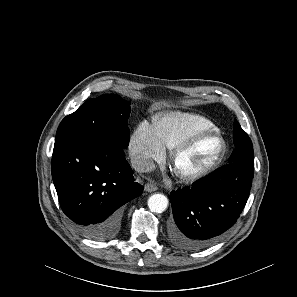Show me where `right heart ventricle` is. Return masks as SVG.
<instances>
[{
  "instance_id": "obj_1",
  "label": "right heart ventricle",
  "mask_w": 297,
  "mask_h": 297,
  "mask_svg": "<svg viewBox=\"0 0 297 297\" xmlns=\"http://www.w3.org/2000/svg\"><path fill=\"white\" fill-rule=\"evenodd\" d=\"M153 128L165 148L173 149L192 133L205 129H216L209 119L186 112H168L158 116Z\"/></svg>"
}]
</instances>
